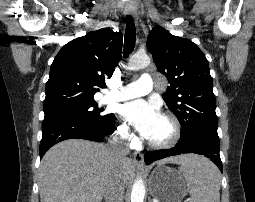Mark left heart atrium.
<instances>
[{"mask_svg":"<svg viewBox=\"0 0 255 202\" xmlns=\"http://www.w3.org/2000/svg\"><path fill=\"white\" fill-rule=\"evenodd\" d=\"M120 113L143 137L147 138L161 116L157 106L144 100L122 105Z\"/></svg>","mask_w":255,"mask_h":202,"instance_id":"39dd6f15","label":"left heart atrium"}]
</instances>
